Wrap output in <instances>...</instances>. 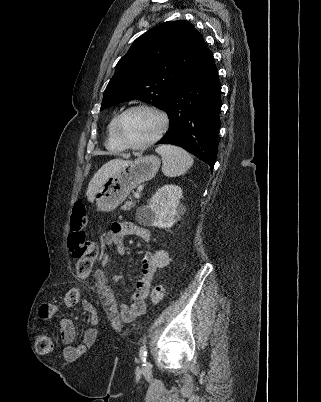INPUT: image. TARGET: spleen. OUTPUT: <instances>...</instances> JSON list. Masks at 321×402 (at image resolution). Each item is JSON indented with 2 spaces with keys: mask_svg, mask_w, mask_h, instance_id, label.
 Listing matches in <instances>:
<instances>
[{
  "mask_svg": "<svg viewBox=\"0 0 321 402\" xmlns=\"http://www.w3.org/2000/svg\"><path fill=\"white\" fill-rule=\"evenodd\" d=\"M156 152L161 155L162 172L167 177L185 174L193 165L192 156L184 149L174 145H160Z\"/></svg>",
  "mask_w": 321,
  "mask_h": 402,
  "instance_id": "3e777b00",
  "label": "spleen"
}]
</instances>
